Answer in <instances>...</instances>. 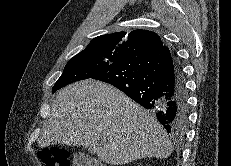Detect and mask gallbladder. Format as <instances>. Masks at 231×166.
Segmentation results:
<instances>
[{
	"mask_svg": "<svg viewBox=\"0 0 231 166\" xmlns=\"http://www.w3.org/2000/svg\"><path fill=\"white\" fill-rule=\"evenodd\" d=\"M92 160L83 154H76L73 159V166H88Z\"/></svg>",
	"mask_w": 231,
	"mask_h": 166,
	"instance_id": "bac80fb5",
	"label": "gallbladder"
}]
</instances>
